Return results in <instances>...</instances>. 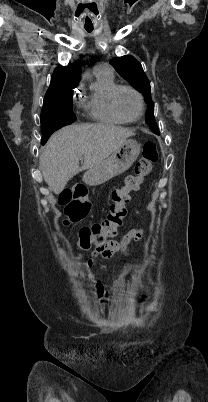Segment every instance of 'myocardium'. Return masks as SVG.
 Returning <instances> with one entry per match:
<instances>
[{"instance_id":"f54148a6","label":"myocardium","mask_w":208,"mask_h":402,"mask_svg":"<svg viewBox=\"0 0 208 402\" xmlns=\"http://www.w3.org/2000/svg\"><path fill=\"white\" fill-rule=\"evenodd\" d=\"M123 90H128V91L134 93V94L138 97V99H139V102H140V112H139L138 116L135 117V118H128V117H125V116L118 110V107H117V96H118V94H119L121 91H123ZM110 106H111L112 112L114 113V115H115L119 120H121V121H123V122H126V123H133V122L138 121V120L143 116L144 110H145V101H144L143 95H142L138 90H136L135 88H133V87H131V86L122 85V86H118V87L113 91V93H112V95H111V98H110Z\"/></svg>"}]
</instances>
